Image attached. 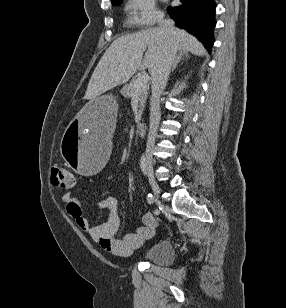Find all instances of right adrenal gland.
<instances>
[{"label": "right adrenal gland", "instance_id": "1", "mask_svg": "<svg viewBox=\"0 0 286 308\" xmlns=\"http://www.w3.org/2000/svg\"><path fill=\"white\" fill-rule=\"evenodd\" d=\"M184 57L188 58L189 55L187 53H185V52H179V54L175 58V61H174L173 65H172L171 72H173L175 70V68L178 66L180 61L184 59Z\"/></svg>", "mask_w": 286, "mask_h": 308}]
</instances>
